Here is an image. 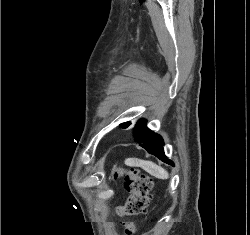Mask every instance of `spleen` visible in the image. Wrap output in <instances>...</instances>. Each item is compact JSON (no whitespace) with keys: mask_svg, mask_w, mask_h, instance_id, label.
<instances>
[{"mask_svg":"<svg viewBox=\"0 0 250 235\" xmlns=\"http://www.w3.org/2000/svg\"><path fill=\"white\" fill-rule=\"evenodd\" d=\"M125 164L127 166L141 167L143 170L158 179L164 180L169 178V174L164 168L151 161L129 158L125 160Z\"/></svg>","mask_w":250,"mask_h":235,"instance_id":"3e777b00","label":"spleen"}]
</instances>
